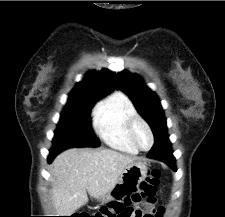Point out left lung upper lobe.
Wrapping results in <instances>:
<instances>
[{"label": "left lung upper lobe", "mask_w": 225, "mask_h": 217, "mask_svg": "<svg viewBox=\"0 0 225 217\" xmlns=\"http://www.w3.org/2000/svg\"><path fill=\"white\" fill-rule=\"evenodd\" d=\"M116 86L130 97L137 111L150 125L155 139L151 150H161L163 153L171 154L166 119L157 95L145 85L140 76L125 70L116 75Z\"/></svg>", "instance_id": "obj_1"}]
</instances>
